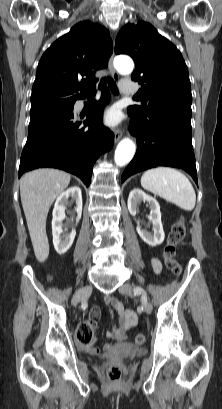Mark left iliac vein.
Wrapping results in <instances>:
<instances>
[{
    "label": "left iliac vein",
    "instance_id": "1",
    "mask_svg": "<svg viewBox=\"0 0 222 409\" xmlns=\"http://www.w3.org/2000/svg\"><path fill=\"white\" fill-rule=\"evenodd\" d=\"M119 292L123 295L133 296V286L129 283H124L119 287ZM142 308L147 314L152 312V304L145 296L142 297Z\"/></svg>",
    "mask_w": 222,
    "mask_h": 409
}]
</instances>
